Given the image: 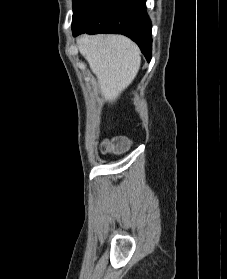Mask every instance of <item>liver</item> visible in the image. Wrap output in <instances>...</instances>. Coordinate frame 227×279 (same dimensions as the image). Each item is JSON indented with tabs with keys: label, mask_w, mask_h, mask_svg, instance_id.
Instances as JSON below:
<instances>
[{
	"label": "liver",
	"mask_w": 227,
	"mask_h": 279,
	"mask_svg": "<svg viewBox=\"0 0 227 279\" xmlns=\"http://www.w3.org/2000/svg\"><path fill=\"white\" fill-rule=\"evenodd\" d=\"M79 51L96 75L103 99L114 102L135 79L141 64L140 50L122 35H82Z\"/></svg>",
	"instance_id": "1"
}]
</instances>
